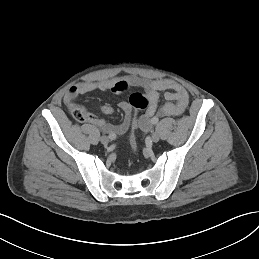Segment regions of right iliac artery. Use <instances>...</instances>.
Returning a JSON list of instances; mask_svg holds the SVG:
<instances>
[{"instance_id": "obj_1", "label": "right iliac artery", "mask_w": 259, "mask_h": 259, "mask_svg": "<svg viewBox=\"0 0 259 259\" xmlns=\"http://www.w3.org/2000/svg\"><path fill=\"white\" fill-rule=\"evenodd\" d=\"M108 137H109L110 140H115L116 139V134L111 133V134H109Z\"/></svg>"}]
</instances>
